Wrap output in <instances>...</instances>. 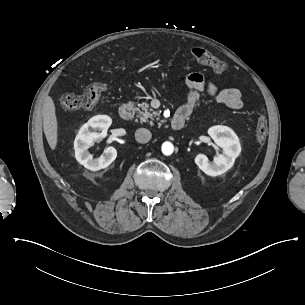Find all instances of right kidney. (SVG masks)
<instances>
[{
    "label": "right kidney",
    "instance_id": "obj_1",
    "mask_svg": "<svg viewBox=\"0 0 305 305\" xmlns=\"http://www.w3.org/2000/svg\"><path fill=\"white\" fill-rule=\"evenodd\" d=\"M112 120L106 115H100L93 117L88 123L84 124L74 141L75 158L85 168L97 171L108 167L117 157V151L114 147H108L104 150V155L99 158L93 159V156L87 151L89 146L95 140L100 139V133H91L88 127L101 130L102 132L107 131L111 125Z\"/></svg>",
    "mask_w": 305,
    "mask_h": 305
}]
</instances>
